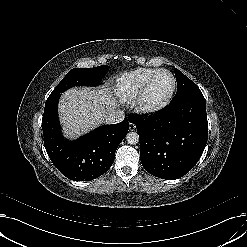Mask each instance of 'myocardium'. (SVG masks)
Listing matches in <instances>:
<instances>
[{
	"instance_id": "1",
	"label": "myocardium",
	"mask_w": 247,
	"mask_h": 247,
	"mask_svg": "<svg viewBox=\"0 0 247 247\" xmlns=\"http://www.w3.org/2000/svg\"><path fill=\"white\" fill-rule=\"evenodd\" d=\"M161 73H166L172 80V86L168 94L161 99H152L149 97V90L154 79ZM176 89V79L167 69H158L146 82L141 92L133 99L132 105L135 111L141 115H148L164 108L172 99Z\"/></svg>"
}]
</instances>
